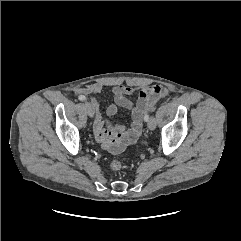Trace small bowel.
Wrapping results in <instances>:
<instances>
[{
  "mask_svg": "<svg viewBox=\"0 0 241 241\" xmlns=\"http://www.w3.org/2000/svg\"><path fill=\"white\" fill-rule=\"evenodd\" d=\"M102 89V84L92 83L77 89L75 93L79 96H90L91 102L96 110V118L94 121L95 137L104 149L116 154L137 141L142 130L144 114L152 104L167 94V89L160 85L141 86L138 88H131L124 85L113 87L111 93L114 103L106 108V114L112 117L117 114L118 108L130 110L132 121L129 127H125L124 125H111L102 117L100 104L95 97ZM135 93L138 94V98L136 103H133L128 96Z\"/></svg>",
  "mask_w": 241,
  "mask_h": 241,
  "instance_id": "small-bowel-1",
  "label": "small bowel"
}]
</instances>
